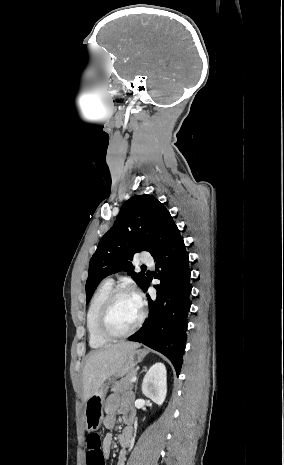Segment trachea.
Returning <instances> with one entry per match:
<instances>
[{
    "label": "trachea",
    "mask_w": 284,
    "mask_h": 465,
    "mask_svg": "<svg viewBox=\"0 0 284 465\" xmlns=\"http://www.w3.org/2000/svg\"><path fill=\"white\" fill-rule=\"evenodd\" d=\"M141 269H142V270H146V269H147L146 265H142V266H141Z\"/></svg>",
    "instance_id": "1"
}]
</instances>
